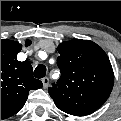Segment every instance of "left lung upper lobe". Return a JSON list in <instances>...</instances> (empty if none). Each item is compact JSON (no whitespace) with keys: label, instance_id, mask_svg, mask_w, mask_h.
I'll return each mask as SVG.
<instances>
[{"label":"left lung upper lobe","instance_id":"obj_1","mask_svg":"<svg viewBox=\"0 0 121 121\" xmlns=\"http://www.w3.org/2000/svg\"><path fill=\"white\" fill-rule=\"evenodd\" d=\"M61 77L48 89L56 106L75 116L89 115L108 99L114 84L109 58L89 40L73 39L58 46Z\"/></svg>","mask_w":121,"mask_h":121}]
</instances>
